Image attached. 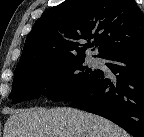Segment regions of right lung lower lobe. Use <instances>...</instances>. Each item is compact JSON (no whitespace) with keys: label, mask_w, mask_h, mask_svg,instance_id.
Masks as SVG:
<instances>
[{"label":"right lung lower lobe","mask_w":144,"mask_h":137,"mask_svg":"<svg viewBox=\"0 0 144 137\" xmlns=\"http://www.w3.org/2000/svg\"><path fill=\"white\" fill-rule=\"evenodd\" d=\"M106 59L114 78L101 71L70 106L103 116L134 137H144V43Z\"/></svg>","instance_id":"98d812e1"}]
</instances>
